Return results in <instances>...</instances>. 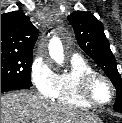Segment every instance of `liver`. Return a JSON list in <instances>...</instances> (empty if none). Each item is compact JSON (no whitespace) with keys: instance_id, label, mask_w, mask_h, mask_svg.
<instances>
[{"instance_id":"liver-1","label":"liver","mask_w":122,"mask_h":123,"mask_svg":"<svg viewBox=\"0 0 122 123\" xmlns=\"http://www.w3.org/2000/svg\"><path fill=\"white\" fill-rule=\"evenodd\" d=\"M101 120L92 112L48 100L42 95L13 91L1 95V123H92Z\"/></svg>"}]
</instances>
